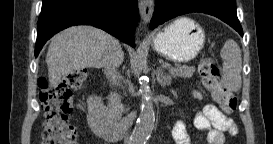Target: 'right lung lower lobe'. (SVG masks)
Returning a JSON list of instances; mask_svg holds the SVG:
<instances>
[{
  "instance_id": "right-lung-lower-lobe-1",
  "label": "right lung lower lobe",
  "mask_w": 273,
  "mask_h": 144,
  "mask_svg": "<svg viewBox=\"0 0 273 144\" xmlns=\"http://www.w3.org/2000/svg\"><path fill=\"white\" fill-rule=\"evenodd\" d=\"M137 0H43L35 57L48 39L73 25H92L135 47Z\"/></svg>"
}]
</instances>
